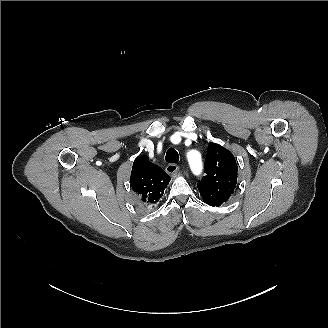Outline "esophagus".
Listing matches in <instances>:
<instances>
[{
    "instance_id": "34e87169",
    "label": "esophagus",
    "mask_w": 328,
    "mask_h": 328,
    "mask_svg": "<svg viewBox=\"0 0 328 328\" xmlns=\"http://www.w3.org/2000/svg\"><path fill=\"white\" fill-rule=\"evenodd\" d=\"M165 170H166V172L168 174H170L171 176H173V175H175L178 172L179 167H178V165H176L174 163H170V164H168L166 166Z\"/></svg>"
}]
</instances>
